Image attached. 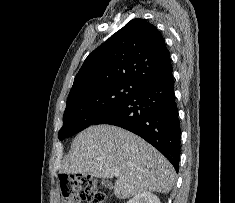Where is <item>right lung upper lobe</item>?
Returning <instances> with one entry per match:
<instances>
[{
  "label": "right lung upper lobe",
  "mask_w": 235,
  "mask_h": 203,
  "mask_svg": "<svg viewBox=\"0 0 235 203\" xmlns=\"http://www.w3.org/2000/svg\"><path fill=\"white\" fill-rule=\"evenodd\" d=\"M170 68V53L160 32L146 20L136 18L89 54L70 93L112 80L141 84Z\"/></svg>",
  "instance_id": "1"
}]
</instances>
